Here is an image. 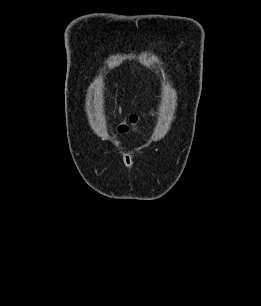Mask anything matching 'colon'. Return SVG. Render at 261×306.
I'll list each match as a JSON object with an SVG mask.
<instances>
[{
  "label": "colon",
  "instance_id": "colon-1",
  "mask_svg": "<svg viewBox=\"0 0 261 306\" xmlns=\"http://www.w3.org/2000/svg\"><path fill=\"white\" fill-rule=\"evenodd\" d=\"M137 120V116L136 115H131L129 117V122L130 123H135ZM120 131L125 132L128 130V125L126 123H123L119 126Z\"/></svg>",
  "mask_w": 261,
  "mask_h": 306
}]
</instances>
